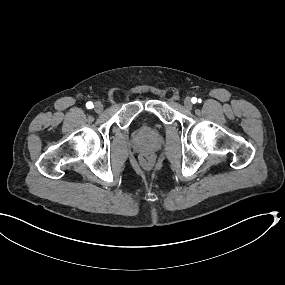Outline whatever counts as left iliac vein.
Listing matches in <instances>:
<instances>
[{"mask_svg":"<svg viewBox=\"0 0 285 285\" xmlns=\"http://www.w3.org/2000/svg\"><path fill=\"white\" fill-rule=\"evenodd\" d=\"M184 106H185V108L188 109V110H190V109L193 108L192 101H191V99H190L189 97H186V98L184 99Z\"/></svg>","mask_w":285,"mask_h":285,"instance_id":"left-iliac-vein-1","label":"left iliac vein"}]
</instances>
